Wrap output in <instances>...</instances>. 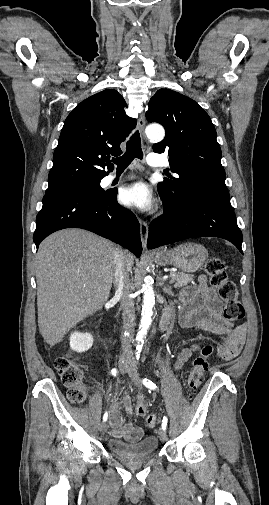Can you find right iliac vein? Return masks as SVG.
Returning <instances> with one entry per match:
<instances>
[{
	"instance_id": "63e3f726",
	"label": "right iliac vein",
	"mask_w": 269,
	"mask_h": 505,
	"mask_svg": "<svg viewBox=\"0 0 269 505\" xmlns=\"http://www.w3.org/2000/svg\"><path fill=\"white\" fill-rule=\"evenodd\" d=\"M123 360H124V358H121V359H120V363H119V369H120L121 373H124V372H125V370H124V368H123L124 364H122V361H123ZM100 431H101V433H102L103 435L106 433V431H107V423H106V422H103V423L101 424V426H100Z\"/></svg>"
}]
</instances>
